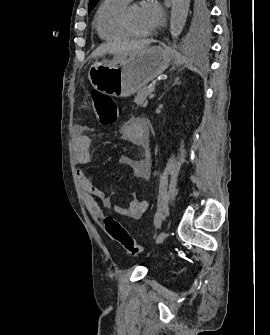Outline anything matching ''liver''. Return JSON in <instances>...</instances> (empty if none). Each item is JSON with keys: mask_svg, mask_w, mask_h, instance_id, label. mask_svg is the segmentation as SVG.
Segmentation results:
<instances>
[{"mask_svg": "<svg viewBox=\"0 0 270 335\" xmlns=\"http://www.w3.org/2000/svg\"><path fill=\"white\" fill-rule=\"evenodd\" d=\"M150 44V40H140V42H126V44H122L118 50L114 48V46H110V44H102L99 48H96L94 52H92L93 58L95 56H104V54H108V52H114L115 54H128V52H139V50H143Z\"/></svg>", "mask_w": 270, "mask_h": 335, "instance_id": "6515ba94", "label": "liver"}]
</instances>
